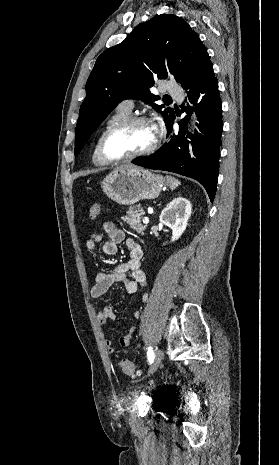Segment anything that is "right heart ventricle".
Instances as JSON below:
<instances>
[{"instance_id":"e07e8e85","label":"right heart ventricle","mask_w":279,"mask_h":465,"mask_svg":"<svg viewBox=\"0 0 279 465\" xmlns=\"http://www.w3.org/2000/svg\"><path fill=\"white\" fill-rule=\"evenodd\" d=\"M129 114L130 112H127L125 110H123L122 108H120L119 106L115 109V111L113 112V114L106 120V122L104 123L103 127L101 128L99 134H98V137H97V140L95 142V145H94V149H93V153H92V161L95 165L97 166H104L106 165V163L100 158V155H99V152H98V145H99V141H100V138L101 136L103 135V133L110 127L112 126L113 124L123 120V119H126L129 117Z\"/></svg>"}]
</instances>
